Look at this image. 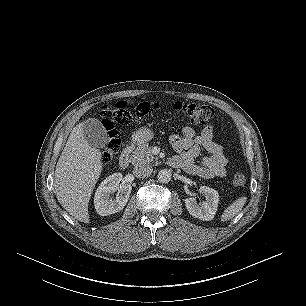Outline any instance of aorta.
Returning a JSON list of instances; mask_svg holds the SVG:
<instances>
[{
	"mask_svg": "<svg viewBox=\"0 0 306 306\" xmlns=\"http://www.w3.org/2000/svg\"><path fill=\"white\" fill-rule=\"evenodd\" d=\"M171 176L172 174L169 170L162 169L159 171L157 178L161 183H168L171 180Z\"/></svg>",
	"mask_w": 306,
	"mask_h": 306,
	"instance_id": "1",
	"label": "aorta"
}]
</instances>
